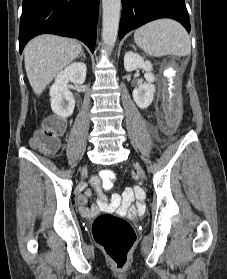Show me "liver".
<instances>
[{
    "mask_svg": "<svg viewBox=\"0 0 227 279\" xmlns=\"http://www.w3.org/2000/svg\"><path fill=\"white\" fill-rule=\"evenodd\" d=\"M82 52L74 39L40 35L24 48L25 70L36 95H40L54 77Z\"/></svg>",
    "mask_w": 227,
    "mask_h": 279,
    "instance_id": "liver-1",
    "label": "liver"
}]
</instances>
